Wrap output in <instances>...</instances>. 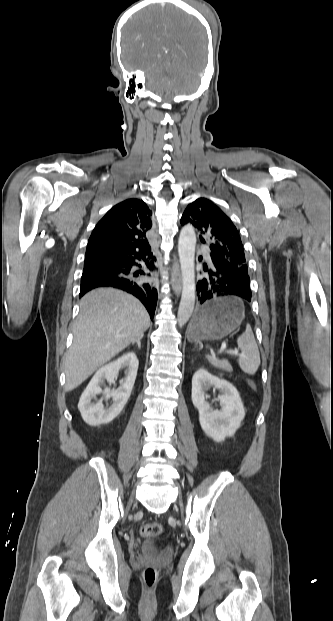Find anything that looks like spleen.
I'll return each instance as SVG.
<instances>
[{
  "mask_svg": "<svg viewBox=\"0 0 333 621\" xmlns=\"http://www.w3.org/2000/svg\"><path fill=\"white\" fill-rule=\"evenodd\" d=\"M237 345L241 350V355L238 359L241 370L246 374L254 375L260 366L261 360L257 343L249 325L246 326L245 332L237 338Z\"/></svg>",
  "mask_w": 333,
  "mask_h": 621,
  "instance_id": "obj_1",
  "label": "spleen"
}]
</instances>
